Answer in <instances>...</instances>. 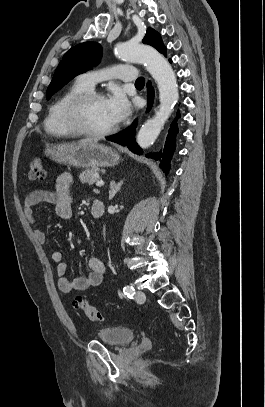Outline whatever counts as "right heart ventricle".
<instances>
[{"label":"right heart ventricle","instance_id":"1","mask_svg":"<svg viewBox=\"0 0 265 407\" xmlns=\"http://www.w3.org/2000/svg\"><path fill=\"white\" fill-rule=\"evenodd\" d=\"M87 91L88 88L76 81L58 96L51 104L44 121L46 133L54 137H74L76 135L65 125L63 111L70 99Z\"/></svg>","mask_w":265,"mask_h":407}]
</instances>
